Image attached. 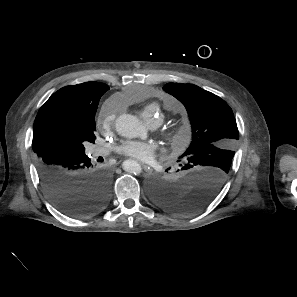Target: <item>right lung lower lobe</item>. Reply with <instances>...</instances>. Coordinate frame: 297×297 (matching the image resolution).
Masks as SVG:
<instances>
[{"label":"right lung lower lobe","mask_w":297,"mask_h":297,"mask_svg":"<svg viewBox=\"0 0 297 297\" xmlns=\"http://www.w3.org/2000/svg\"><path fill=\"white\" fill-rule=\"evenodd\" d=\"M82 154L49 150L37 159V170L44 191L51 201L70 216L98 212L108 201L110 177L96 169Z\"/></svg>","instance_id":"obj_1"}]
</instances>
